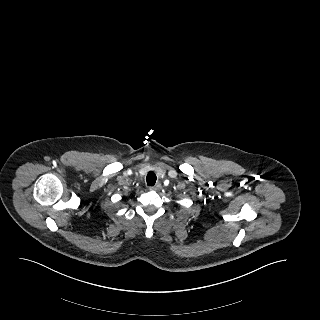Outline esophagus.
I'll return each instance as SVG.
<instances>
[{
	"label": "esophagus",
	"mask_w": 320,
	"mask_h": 320,
	"mask_svg": "<svg viewBox=\"0 0 320 320\" xmlns=\"http://www.w3.org/2000/svg\"><path fill=\"white\" fill-rule=\"evenodd\" d=\"M161 188V184L160 183H157V184H155L154 186H150L149 187V190H151V191H157V190H159Z\"/></svg>",
	"instance_id": "obj_1"
}]
</instances>
